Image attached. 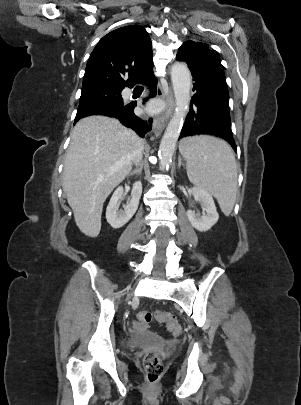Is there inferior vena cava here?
<instances>
[{
    "label": "inferior vena cava",
    "mask_w": 301,
    "mask_h": 405,
    "mask_svg": "<svg viewBox=\"0 0 301 405\" xmlns=\"http://www.w3.org/2000/svg\"><path fill=\"white\" fill-rule=\"evenodd\" d=\"M143 148H144V143L142 142V140H137L134 148L132 150V154H131V158H132V162L138 166L141 164L142 161V152H143Z\"/></svg>",
    "instance_id": "obj_1"
}]
</instances>
